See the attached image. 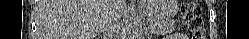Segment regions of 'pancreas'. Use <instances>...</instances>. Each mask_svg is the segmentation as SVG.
<instances>
[{
    "mask_svg": "<svg viewBox=\"0 0 249 39\" xmlns=\"http://www.w3.org/2000/svg\"><path fill=\"white\" fill-rule=\"evenodd\" d=\"M149 28L155 34H167L175 30V25L164 20H152Z\"/></svg>",
    "mask_w": 249,
    "mask_h": 39,
    "instance_id": "obj_1",
    "label": "pancreas"
}]
</instances>
